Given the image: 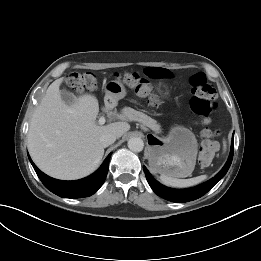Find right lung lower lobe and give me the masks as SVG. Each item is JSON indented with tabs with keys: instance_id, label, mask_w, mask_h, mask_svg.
Instances as JSON below:
<instances>
[{
	"instance_id": "right-lung-lower-lobe-1",
	"label": "right lung lower lobe",
	"mask_w": 261,
	"mask_h": 261,
	"mask_svg": "<svg viewBox=\"0 0 261 261\" xmlns=\"http://www.w3.org/2000/svg\"><path fill=\"white\" fill-rule=\"evenodd\" d=\"M110 156L111 154L107 156L95 173L84 179L75 181H61L51 178L36 167L29 155L28 158L39 179L48 190L64 198H82L93 195L102 186L108 173Z\"/></svg>"
}]
</instances>
